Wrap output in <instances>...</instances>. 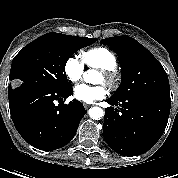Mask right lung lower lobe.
<instances>
[{"mask_svg":"<svg viewBox=\"0 0 178 178\" xmlns=\"http://www.w3.org/2000/svg\"><path fill=\"white\" fill-rule=\"evenodd\" d=\"M72 94L71 86L62 89H9L11 117L23 139L46 151L67 145L86 114L83 104L75 99L69 104L62 103Z\"/></svg>","mask_w":178,"mask_h":178,"instance_id":"right-lung-lower-lobe-1","label":"right lung lower lobe"}]
</instances>
